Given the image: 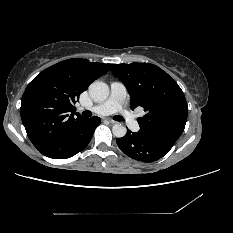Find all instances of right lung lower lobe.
Returning <instances> with one entry per match:
<instances>
[{
  "label": "right lung lower lobe",
  "mask_w": 233,
  "mask_h": 233,
  "mask_svg": "<svg viewBox=\"0 0 233 233\" xmlns=\"http://www.w3.org/2000/svg\"><path fill=\"white\" fill-rule=\"evenodd\" d=\"M101 123L99 117L82 119L66 130L50 144L38 148L45 156L53 159H66L84 150L89 144L96 127Z\"/></svg>",
  "instance_id": "obj_1"
}]
</instances>
